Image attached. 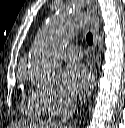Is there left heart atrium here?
Returning <instances> with one entry per match:
<instances>
[{"label": "left heart atrium", "instance_id": "obj_1", "mask_svg": "<svg viewBox=\"0 0 125 128\" xmlns=\"http://www.w3.org/2000/svg\"><path fill=\"white\" fill-rule=\"evenodd\" d=\"M92 73L82 64H71L61 73L59 86L64 96L76 100L82 98L91 88Z\"/></svg>", "mask_w": 125, "mask_h": 128}]
</instances>
